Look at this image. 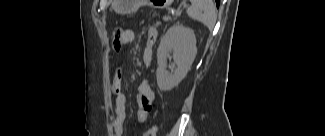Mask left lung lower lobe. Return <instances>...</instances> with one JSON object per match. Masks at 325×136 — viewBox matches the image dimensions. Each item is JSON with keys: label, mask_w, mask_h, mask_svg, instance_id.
I'll use <instances>...</instances> for the list:
<instances>
[{"label": "left lung lower lobe", "mask_w": 325, "mask_h": 136, "mask_svg": "<svg viewBox=\"0 0 325 136\" xmlns=\"http://www.w3.org/2000/svg\"><path fill=\"white\" fill-rule=\"evenodd\" d=\"M217 7H219L220 0H215Z\"/></svg>", "instance_id": "1"}]
</instances>
